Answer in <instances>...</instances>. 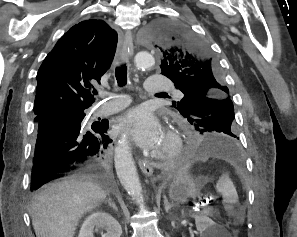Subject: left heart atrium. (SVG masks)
I'll return each instance as SVG.
<instances>
[{
  "label": "left heart atrium",
  "instance_id": "obj_1",
  "mask_svg": "<svg viewBox=\"0 0 297 237\" xmlns=\"http://www.w3.org/2000/svg\"><path fill=\"white\" fill-rule=\"evenodd\" d=\"M118 129L126 131L143 148L155 149L164 135L155 114L147 108L131 109L118 120Z\"/></svg>",
  "mask_w": 297,
  "mask_h": 237
}]
</instances>
